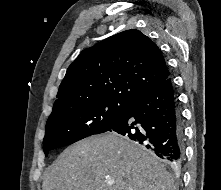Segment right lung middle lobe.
Instances as JSON below:
<instances>
[{
    "mask_svg": "<svg viewBox=\"0 0 221 190\" xmlns=\"http://www.w3.org/2000/svg\"><path fill=\"white\" fill-rule=\"evenodd\" d=\"M127 103L120 99H100L52 111L43 140L45 155L52 149L112 129L123 117Z\"/></svg>",
    "mask_w": 221,
    "mask_h": 190,
    "instance_id": "dd1d6c3e",
    "label": "right lung middle lobe"
}]
</instances>
